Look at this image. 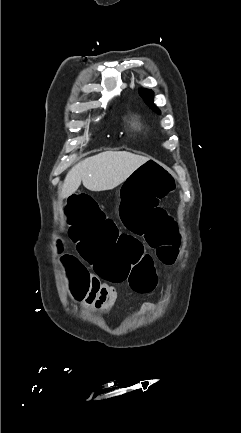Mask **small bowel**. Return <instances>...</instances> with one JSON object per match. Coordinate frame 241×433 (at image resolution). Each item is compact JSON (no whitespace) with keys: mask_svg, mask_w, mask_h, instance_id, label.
Instances as JSON below:
<instances>
[{"mask_svg":"<svg viewBox=\"0 0 241 433\" xmlns=\"http://www.w3.org/2000/svg\"><path fill=\"white\" fill-rule=\"evenodd\" d=\"M134 172H136V170ZM90 274V291L85 292L82 305L84 308L94 312L101 314L108 313L118 298V291L115 286L102 281L98 274ZM153 309L154 304L151 302H145L142 306L143 312H150Z\"/></svg>","mask_w":241,"mask_h":433,"instance_id":"obj_1","label":"small bowel"}]
</instances>
